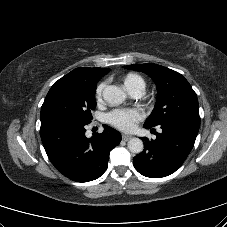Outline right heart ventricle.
<instances>
[{"instance_id":"obj_1","label":"right heart ventricle","mask_w":227,"mask_h":227,"mask_svg":"<svg viewBox=\"0 0 227 227\" xmlns=\"http://www.w3.org/2000/svg\"><path fill=\"white\" fill-rule=\"evenodd\" d=\"M124 85L128 90H131L139 85L145 86V82L141 76L129 73L124 79Z\"/></svg>"}]
</instances>
